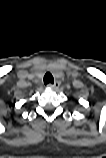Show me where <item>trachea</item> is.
<instances>
[{"label":"trachea","mask_w":106,"mask_h":158,"mask_svg":"<svg viewBox=\"0 0 106 158\" xmlns=\"http://www.w3.org/2000/svg\"><path fill=\"white\" fill-rule=\"evenodd\" d=\"M54 83V78L51 73H46L44 76V84Z\"/></svg>","instance_id":"1"}]
</instances>
